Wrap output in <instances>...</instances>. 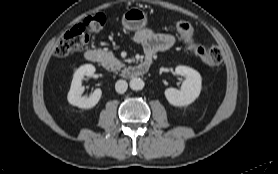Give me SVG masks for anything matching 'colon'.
Masks as SVG:
<instances>
[{"instance_id": "5ec220e1", "label": "colon", "mask_w": 278, "mask_h": 174, "mask_svg": "<svg viewBox=\"0 0 278 174\" xmlns=\"http://www.w3.org/2000/svg\"><path fill=\"white\" fill-rule=\"evenodd\" d=\"M105 21V16L100 13L86 17L81 23L76 24L67 31L58 41L55 55L57 57H66L83 49L89 42V33L101 30ZM176 30L186 49L200 58L205 65L217 67L222 63L223 54L219 47L211 46L206 48L195 42L194 30L190 23L180 21L176 25Z\"/></svg>"}]
</instances>
